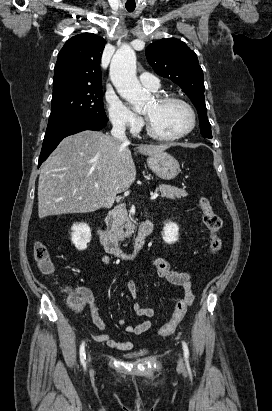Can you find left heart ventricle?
<instances>
[{
  "instance_id": "left-heart-ventricle-1",
  "label": "left heart ventricle",
  "mask_w": 272,
  "mask_h": 411,
  "mask_svg": "<svg viewBox=\"0 0 272 411\" xmlns=\"http://www.w3.org/2000/svg\"><path fill=\"white\" fill-rule=\"evenodd\" d=\"M144 114L157 132L167 136L180 134L191 122L188 109L176 102L161 104L154 99L144 108Z\"/></svg>"
}]
</instances>
